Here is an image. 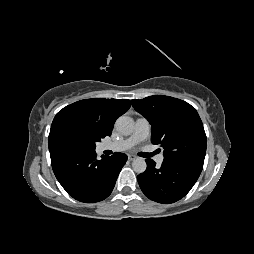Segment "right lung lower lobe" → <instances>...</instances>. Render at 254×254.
Returning a JSON list of instances; mask_svg holds the SVG:
<instances>
[{"instance_id":"obj_1","label":"right lung lower lobe","mask_w":254,"mask_h":254,"mask_svg":"<svg viewBox=\"0 0 254 254\" xmlns=\"http://www.w3.org/2000/svg\"><path fill=\"white\" fill-rule=\"evenodd\" d=\"M54 174L74 199L93 203L107 198L127 161L123 153L96 158L95 151L61 148L50 152Z\"/></svg>"}]
</instances>
